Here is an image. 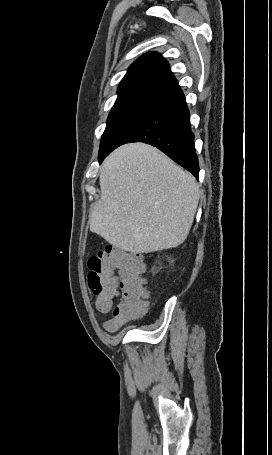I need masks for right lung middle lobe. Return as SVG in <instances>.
I'll list each match as a JSON object with an SVG mask.
<instances>
[{
	"mask_svg": "<svg viewBox=\"0 0 272 455\" xmlns=\"http://www.w3.org/2000/svg\"><path fill=\"white\" fill-rule=\"evenodd\" d=\"M164 105L162 102L147 99H130L115 102L108 116L107 126L101 138L99 159L129 129L152 115Z\"/></svg>",
	"mask_w": 272,
	"mask_h": 455,
	"instance_id": "1",
	"label": "right lung middle lobe"
}]
</instances>
